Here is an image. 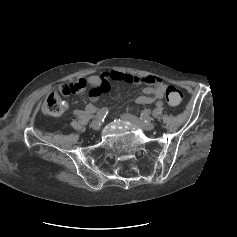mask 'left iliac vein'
Segmentation results:
<instances>
[{
	"mask_svg": "<svg viewBox=\"0 0 237 237\" xmlns=\"http://www.w3.org/2000/svg\"><path fill=\"white\" fill-rule=\"evenodd\" d=\"M121 118L129 121L130 123L134 124L135 126L139 127L140 129H143L145 131H151L155 128V124L151 122H144L143 120L130 115V114H121Z\"/></svg>",
	"mask_w": 237,
	"mask_h": 237,
	"instance_id": "4c4485c4",
	"label": "left iliac vein"
}]
</instances>
